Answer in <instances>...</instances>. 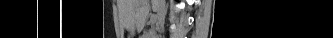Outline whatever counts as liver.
Segmentation results:
<instances>
[{
  "instance_id": "6515ba94",
  "label": "liver",
  "mask_w": 333,
  "mask_h": 38,
  "mask_svg": "<svg viewBox=\"0 0 333 38\" xmlns=\"http://www.w3.org/2000/svg\"><path fill=\"white\" fill-rule=\"evenodd\" d=\"M158 1L159 0H136L133 3L131 0H121L119 2L120 11H130L133 8L134 11V19L137 31H141L144 27L146 18L149 14V2L152 4L153 11L157 12L158 14Z\"/></svg>"
}]
</instances>
